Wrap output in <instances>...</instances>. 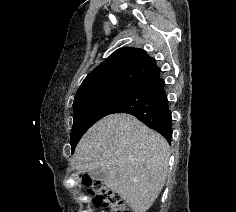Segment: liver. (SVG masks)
Listing matches in <instances>:
<instances>
[{"mask_svg":"<svg viewBox=\"0 0 236 212\" xmlns=\"http://www.w3.org/2000/svg\"><path fill=\"white\" fill-rule=\"evenodd\" d=\"M169 144L129 114L108 115L94 124L79 141L74 168L91 172L102 168L104 184L134 212H146L166 180Z\"/></svg>","mask_w":236,"mask_h":212,"instance_id":"1","label":"liver"}]
</instances>
